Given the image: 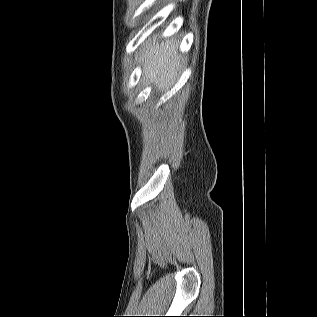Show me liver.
Instances as JSON below:
<instances>
[{
  "mask_svg": "<svg viewBox=\"0 0 317 317\" xmlns=\"http://www.w3.org/2000/svg\"><path fill=\"white\" fill-rule=\"evenodd\" d=\"M146 82L159 90L169 89L176 81L180 68V58L175 42L166 40L146 47L141 59Z\"/></svg>",
  "mask_w": 317,
  "mask_h": 317,
  "instance_id": "obj_1",
  "label": "liver"
}]
</instances>
